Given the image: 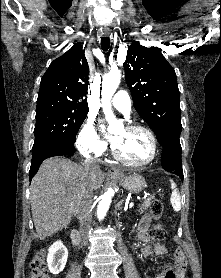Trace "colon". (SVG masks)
<instances>
[{"instance_id":"colon-1","label":"colon","mask_w":221,"mask_h":278,"mask_svg":"<svg viewBox=\"0 0 221 278\" xmlns=\"http://www.w3.org/2000/svg\"><path fill=\"white\" fill-rule=\"evenodd\" d=\"M150 215L154 220H159L163 215V205L160 200H153L150 205ZM152 236L157 240H162L166 237V232L159 225H156L152 231ZM46 251L41 250L34 256L31 262V278H51L45 264ZM174 271L165 273V278H175Z\"/></svg>"}]
</instances>
